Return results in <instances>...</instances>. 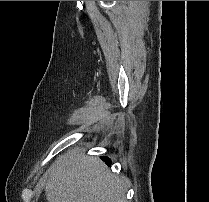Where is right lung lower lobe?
I'll list each match as a JSON object with an SVG mask.
<instances>
[{
	"label": "right lung lower lobe",
	"mask_w": 209,
	"mask_h": 202,
	"mask_svg": "<svg viewBox=\"0 0 209 202\" xmlns=\"http://www.w3.org/2000/svg\"><path fill=\"white\" fill-rule=\"evenodd\" d=\"M101 158L103 161L106 162L107 165H109V166L111 165V160L109 158H107V157H101Z\"/></svg>",
	"instance_id": "98d812e1"
}]
</instances>
